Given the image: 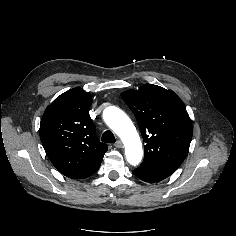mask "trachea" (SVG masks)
<instances>
[{
  "label": "trachea",
  "instance_id": "obj_1",
  "mask_svg": "<svg viewBox=\"0 0 236 236\" xmlns=\"http://www.w3.org/2000/svg\"><path fill=\"white\" fill-rule=\"evenodd\" d=\"M101 140L105 143H115L116 141L114 134L109 130L103 133Z\"/></svg>",
  "mask_w": 236,
  "mask_h": 236
}]
</instances>
